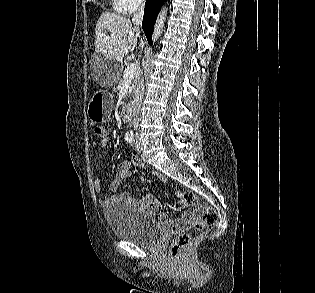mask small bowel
<instances>
[{
    "label": "small bowel",
    "instance_id": "c3829d8e",
    "mask_svg": "<svg viewBox=\"0 0 315 293\" xmlns=\"http://www.w3.org/2000/svg\"><path fill=\"white\" fill-rule=\"evenodd\" d=\"M109 144V139L107 135L101 139L100 145L102 148H106ZM131 166L134 167H143L144 164L142 160L135 156L130 161L123 162L118 168L115 177L110 184L109 190L111 192V196L103 198L100 200V203L103 207H106L114 202H125L130 203L135 206H139L143 209L148 210L153 214L156 220L165 225L167 228L171 230H188L189 225L192 221L195 220V213L193 211H185L182 215L172 221L170 220L165 213L163 212L161 203L158 198L153 195H148L142 200L134 199L129 193L123 192L121 194H116L120 185L129 177L132 176ZM99 169L96 167L93 170V186L96 193L100 194L102 192V183L101 179L98 176ZM151 175L158 180L164 181V176L158 172H152ZM177 208L185 207L181 202H178L176 205Z\"/></svg>",
    "mask_w": 315,
    "mask_h": 293
}]
</instances>
